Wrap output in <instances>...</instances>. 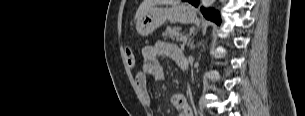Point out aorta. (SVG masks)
I'll use <instances>...</instances> for the list:
<instances>
[{
	"mask_svg": "<svg viewBox=\"0 0 305 116\" xmlns=\"http://www.w3.org/2000/svg\"><path fill=\"white\" fill-rule=\"evenodd\" d=\"M214 1H215V0H202V5H203L204 7H210V6L213 5Z\"/></svg>",
	"mask_w": 305,
	"mask_h": 116,
	"instance_id": "762f6f07",
	"label": "aorta"
}]
</instances>
